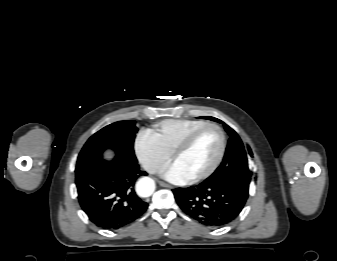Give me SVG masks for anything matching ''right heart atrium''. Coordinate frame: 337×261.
<instances>
[{"label": "right heart atrium", "mask_w": 337, "mask_h": 261, "mask_svg": "<svg viewBox=\"0 0 337 261\" xmlns=\"http://www.w3.org/2000/svg\"><path fill=\"white\" fill-rule=\"evenodd\" d=\"M138 160L149 173L158 172L170 159L168 153L149 131H142L135 140Z\"/></svg>", "instance_id": "right-heart-atrium-1"}]
</instances>
